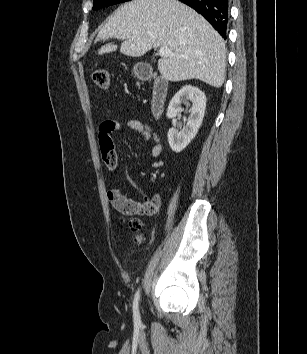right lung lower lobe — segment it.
<instances>
[{
	"instance_id": "right-lung-lower-lobe-1",
	"label": "right lung lower lobe",
	"mask_w": 307,
	"mask_h": 354,
	"mask_svg": "<svg viewBox=\"0 0 307 354\" xmlns=\"http://www.w3.org/2000/svg\"><path fill=\"white\" fill-rule=\"evenodd\" d=\"M200 13L226 39L229 0H179Z\"/></svg>"
}]
</instances>
